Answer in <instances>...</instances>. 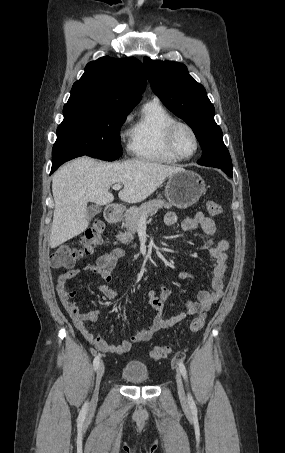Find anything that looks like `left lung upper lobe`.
<instances>
[{
  "mask_svg": "<svg viewBox=\"0 0 285 453\" xmlns=\"http://www.w3.org/2000/svg\"><path fill=\"white\" fill-rule=\"evenodd\" d=\"M144 66L153 92L194 131L202 148V157L197 163L232 172L231 157L223 142L221 128L214 120L215 109L204 87L181 63L145 57Z\"/></svg>",
  "mask_w": 285,
  "mask_h": 453,
  "instance_id": "obj_1",
  "label": "left lung upper lobe"
}]
</instances>
